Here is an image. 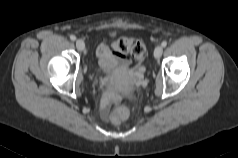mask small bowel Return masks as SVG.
Returning <instances> with one entry per match:
<instances>
[{"mask_svg": "<svg viewBox=\"0 0 238 158\" xmlns=\"http://www.w3.org/2000/svg\"><path fill=\"white\" fill-rule=\"evenodd\" d=\"M97 57L100 65L104 68L112 66L118 60L125 64L129 63V60L125 56L113 53L106 44H101L98 47Z\"/></svg>", "mask_w": 238, "mask_h": 158, "instance_id": "c3829d8e", "label": "small bowel"}]
</instances>
